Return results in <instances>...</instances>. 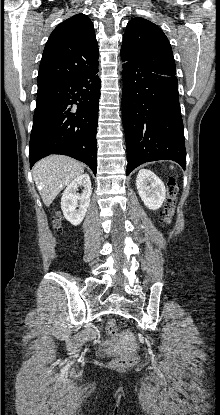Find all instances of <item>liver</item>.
<instances>
[{
    "mask_svg": "<svg viewBox=\"0 0 220 415\" xmlns=\"http://www.w3.org/2000/svg\"><path fill=\"white\" fill-rule=\"evenodd\" d=\"M32 173L36 185L42 186L40 194L49 207L70 182L84 173V166L70 157L52 155L37 162Z\"/></svg>",
    "mask_w": 220,
    "mask_h": 415,
    "instance_id": "obj_1",
    "label": "liver"
}]
</instances>
